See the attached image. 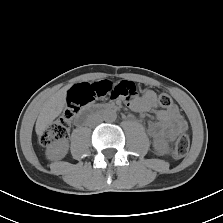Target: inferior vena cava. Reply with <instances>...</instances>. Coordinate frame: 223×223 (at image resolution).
Instances as JSON below:
<instances>
[{"instance_id": "1", "label": "inferior vena cava", "mask_w": 223, "mask_h": 223, "mask_svg": "<svg viewBox=\"0 0 223 223\" xmlns=\"http://www.w3.org/2000/svg\"><path fill=\"white\" fill-rule=\"evenodd\" d=\"M103 121V118L100 115L94 114L89 119L88 125L89 126H95L100 124Z\"/></svg>"}]
</instances>
